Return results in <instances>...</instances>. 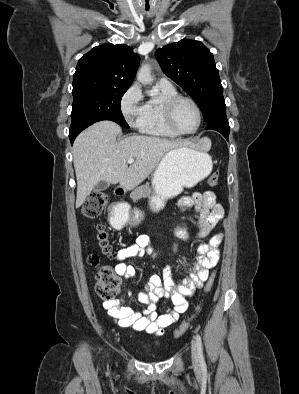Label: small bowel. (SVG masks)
<instances>
[{
  "instance_id": "obj_1",
  "label": "small bowel",
  "mask_w": 299,
  "mask_h": 394,
  "mask_svg": "<svg viewBox=\"0 0 299 394\" xmlns=\"http://www.w3.org/2000/svg\"><path fill=\"white\" fill-rule=\"evenodd\" d=\"M177 205L183 213L192 210V214L197 217L194 223L195 233H190L183 224L176 226L175 235L181 240L207 238L224 216V208L216 202V195L212 191L182 196L178 198ZM118 213L119 207L115 206L114 216ZM222 240L223 233H218L198 245L196 261L187 268V278L176 282L168 271L162 276L152 275L146 283V291L137 295V300L146 305L143 313L122 305L121 299L105 301L103 308L119 327H129L134 331H144L155 336L163 335L164 329L174 324L180 314L187 310V298L193 296L194 291L203 286L209 276V270L217 265L220 259L219 245ZM157 254L158 250L149 237L138 235L134 244L117 251L116 257L120 263L116 265L115 271L120 277L128 280L135 275L136 270L126 260H136L145 255L156 257ZM165 297L170 298L173 309L168 308L166 313L158 315L155 303Z\"/></svg>"
}]
</instances>
